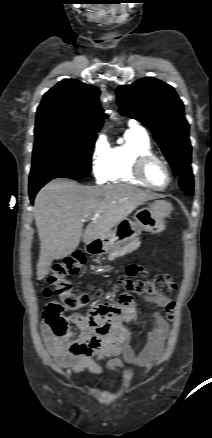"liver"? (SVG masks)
I'll use <instances>...</instances> for the list:
<instances>
[{
    "label": "liver",
    "instance_id": "obj_1",
    "mask_svg": "<svg viewBox=\"0 0 212 438\" xmlns=\"http://www.w3.org/2000/svg\"><path fill=\"white\" fill-rule=\"evenodd\" d=\"M160 195L126 184L83 186L66 179L45 185L34 202L40 239L37 279L49 272L54 259L72 254L81 237L85 244L107 236L113 227L138 206ZM97 215L83 233L86 216Z\"/></svg>",
    "mask_w": 212,
    "mask_h": 438
}]
</instances>
